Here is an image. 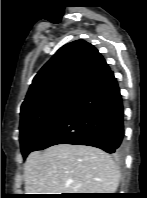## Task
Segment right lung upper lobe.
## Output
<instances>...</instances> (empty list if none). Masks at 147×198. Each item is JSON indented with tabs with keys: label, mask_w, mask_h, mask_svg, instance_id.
I'll return each mask as SVG.
<instances>
[{
	"label": "right lung upper lobe",
	"mask_w": 147,
	"mask_h": 198,
	"mask_svg": "<svg viewBox=\"0 0 147 198\" xmlns=\"http://www.w3.org/2000/svg\"><path fill=\"white\" fill-rule=\"evenodd\" d=\"M110 68L98 50L84 40L61 47L34 77L21 116L55 101H77L100 82Z\"/></svg>",
	"instance_id": "obj_1"
}]
</instances>
